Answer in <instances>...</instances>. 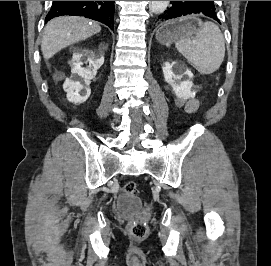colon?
Instances as JSON below:
<instances>
[{
    "mask_svg": "<svg viewBox=\"0 0 271 266\" xmlns=\"http://www.w3.org/2000/svg\"><path fill=\"white\" fill-rule=\"evenodd\" d=\"M123 192L127 195H135L138 192L137 184L134 181H129L124 184ZM131 235L137 239H143L148 234V227L144 217H139L128 226Z\"/></svg>",
    "mask_w": 271,
    "mask_h": 266,
    "instance_id": "5ec220e1",
    "label": "colon"
}]
</instances>
